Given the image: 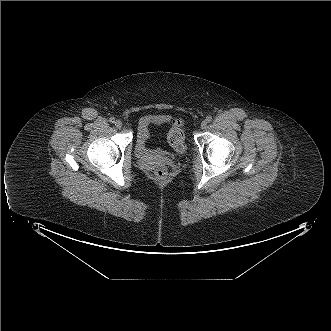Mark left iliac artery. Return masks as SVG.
Instances as JSON below:
<instances>
[{
	"mask_svg": "<svg viewBox=\"0 0 331 331\" xmlns=\"http://www.w3.org/2000/svg\"><path fill=\"white\" fill-rule=\"evenodd\" d=\"M206 121H207V122H211V121H212V117H211V116H208V117L206 118Z\"/></svg>",
	"mask_w": 331,
	"mask_h": 331,
	"instance_id": "44dca946",
	"label": "left iliac artery"
}]
</instances>
